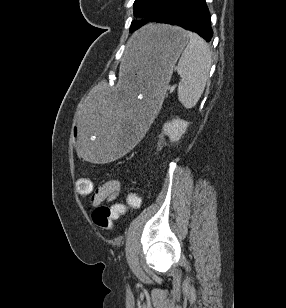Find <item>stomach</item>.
Here are the masks:
<instances>
[{
    "mask_svg": "<svg viewBox=\"0 0 286 308\" xmlns=\"http://www.w3.org/2000/svg\"><path fill=\"white\" fill-rule=\"evenodd\" d=\"M188 40L182 28L156 24L125 44L119 86H101L90 100H82L74 125L78 159H85V164H114L134 144H142L144 125H151L152 107H160Z\"/></svg>",
    "mask_w": 286,
    "mask_h": 308,
    "instance_id": "obj_1",
    "label": "stomach"
}]
</instances>
